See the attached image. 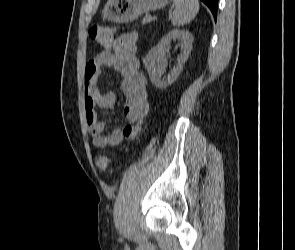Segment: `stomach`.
<instances>
[{
    "label": "stomach",
    "instance_id": "0dacf381",
    "mask_svg": "<svg viewBox=\"0 0 295 250\" xmlns=\"http://www.w3.org/2000/svg\"><path fill=\"white\" fill-rule=\"evenodd\" d=\"M168 0H108L102 16L113 22H129L137 19L143 13L161 9Z\"/></svg>",
    "mask_w": 295,
    "mask_h": 250
}]
</instances>
